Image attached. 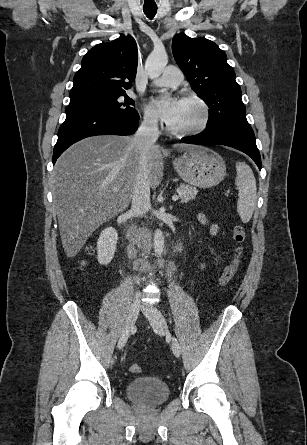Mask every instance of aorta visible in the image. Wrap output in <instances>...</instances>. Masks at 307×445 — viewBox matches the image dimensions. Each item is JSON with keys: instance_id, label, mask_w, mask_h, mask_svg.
Instances as JSON below:
<instances>
[{"instance_id": "762f6f07", "label": "aorta", "mask_w": 307, "mask_h": 445, "mask_svg": "<svg viewBox=\"0 0 307 445\" xmlns=\"http://www.w3.org/2000/svg\"><path fill=\"white\" fill-rule=\"evenodd\" d=\"M168 64V54L165 50V46H158L150 52L145 62V70L149 78H158L163 72L164 66ZM165 90V88H163ZM154 253L157 257H161L164 251V235L160 229H156L153 237Z\"/></svg>"}]
</instances>
